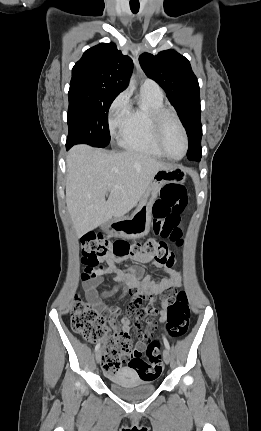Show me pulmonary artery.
I'll return each mask as SVG.
<instances>
[{
  "instance_id": "obj_1",
  "label": "pulmonary artery",
  "mask_w": 261,
  "mask_h": 431,
  "mask_svg": "<svg viewBox=\"0 0 261 431\" xmlns=\"http://www.w3.org/2000/svg\"><path fill=\"white\" fill-rule=\"evenodd\" d=\"M142 89L156 95H162L160 86L152 79H145L142 83Z\"/></svg>"
}]
</instances>
